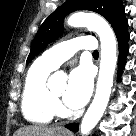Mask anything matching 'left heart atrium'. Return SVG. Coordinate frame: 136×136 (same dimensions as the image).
I'll return each mask as SVG.
<instances>
[{"mask_svg": "<svg viewBox=\"0 0 136 136\" xmlns=\"http://www.w3.org/2000/svg\"><path fill=\"white\" fill-rule=\"evenodd\" d=\"M92 89L93 73L91 68L85 64L79 65L69 75L63 100L70 108H81L88 102Z\"/></svg>", "mask_w": 136, "mask_h": 136, "instance_id": "39dd6f15", "label": "left heart atrium"}]
</instances>
